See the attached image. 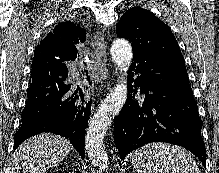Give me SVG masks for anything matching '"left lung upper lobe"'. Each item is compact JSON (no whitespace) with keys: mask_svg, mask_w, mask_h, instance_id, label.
I'll list each match as a JSON object with an SVG mask.
<instances>
[{"mask_svg":"<svg viewBox=\"0 0 219 173\" xmlns=\"http://www.w3.org/2000/svg\"><path fill=\"white\" fill-rule=\"evenodd\" d=\"M116 33L131 42L134 54L185 65L171 29L146 9L133 7L127 10L116 27Z\"/></svg>","mask_w":219,"mask_h":173,"instance_id":"1","label":"left lung upper lobe"}]
</instances>
